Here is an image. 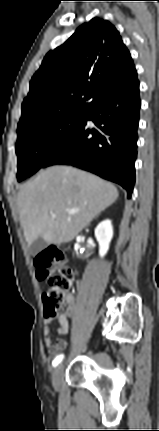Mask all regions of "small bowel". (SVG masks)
<instances>
[{
  "instance_id": "c3829d8e",
  "label": "small bowel",
  "mask_w": 159,
  "mask_h": 431,
  "mask_svg": "<svg viewBox=\"0 0 159 431\" xmlns=\"http://www.w3.org/2000/svg\"><path fill=\"white\" fill-rule=\"evenodd\" d=\"M73 303V296L71 294L66 295L64 299V307L69 306ZM59 327L57 328V332L59 335H66L69 331V322L65 311H62L58 316ZM43 337L44 344L47 348V351L54 355L58 352L64 350L67 347V341L63 338H59L56 342L52 341L51 338V327L50 320L46 319L43 327Z\"/></svg>"
}]
</instances>
